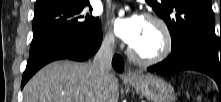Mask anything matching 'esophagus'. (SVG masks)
<instances>
[{
    "label": "esophagus",
    "mask_w": 221,
    "mask_h": 102,
    "mask_svg": "<svg viewBox=\"0 0 221 102\" xmlns=\"http://www.w3.org/2000/svg\"><path fill=\"white\" fill-rule=\"evenodd\" d=\"M137 76L136 72L131 70V69H128L127 72H126V77L127 78H135Z\"/></svg>",
    "instance_id": "obj_1"
}]
</instances>
